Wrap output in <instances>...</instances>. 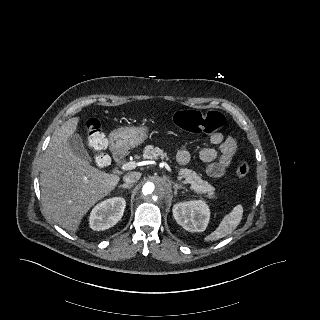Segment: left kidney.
Segmentation results:
<instances>
[{"label":"left kidney","mask_w":320,"mask_h":320,"mask_svg":"<svg viewBox=\"0 0 320 320\" xmlns=\"http://www.w3.org/2000/svg\"><path fill=\"white\" fill-rule=\"evenodd\" d=\"M176 222L190 232L205 231L210 217V209L202 200L180 202L173 207Z\"/></svg>","instance_id":"obj_1"}]
</instances>
